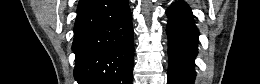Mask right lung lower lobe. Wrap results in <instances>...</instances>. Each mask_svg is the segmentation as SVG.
Wrapping results in <instances>:
<instances>
[{
  "label": "right lung lower lobe",
  "instance_id": "1",
  "mask_svg": "<svg viewBox=\"0 0 260 84\" xmlns=\"http://www.w3.org/2000/svg\"><path fill=\"white\" fill-rule=\"evenodd\" d=\"M72 50L79 84H132L134 44L128 0H80Z\"/></svg>",
  "mask_w": 260,
  "mask_h": 84
}]
</instances>
